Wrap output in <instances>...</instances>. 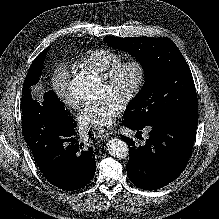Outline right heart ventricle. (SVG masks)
<instances>
[{"label": "right heart ventricle", "instance_id": "right-heart-ventricle-1", "mask_svg": "<svg viewBox=\"0 0 219 219\" xmlns=\"http://www.w3.org/2000/svg\"><path fill=\"white\" fill-rule=\"evenodd\" d=\"M123 60L118 52L108 49H96L79 56L76 64L82 69L103 77Z\"/></svg>", "mask_w": 219, "mask_h": 219}]
</instances>
